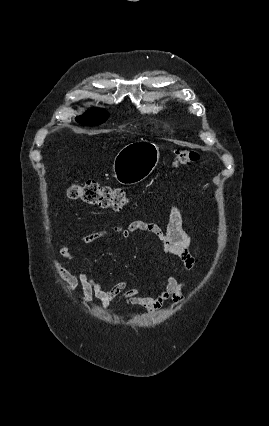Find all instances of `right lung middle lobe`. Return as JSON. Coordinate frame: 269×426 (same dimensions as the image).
<instances>
[{
	"label": "right lung middle lobe",
	"mask_w": 269,
	"mask_h": 426,
	"mask_svg": "<svg viewBox=\"0 0 269 426\" xmlns=\"http://www.w3.org/2000/svg\"><path fill=\"white\" fill-rule=\"evenodd\" d=\"M108 113L103 109H94L82 116L76 118L80 124L87 126H96L104 123L108 119Z\"/></svg>",
	"instance_id": "obj_1"
}]
</instances>
